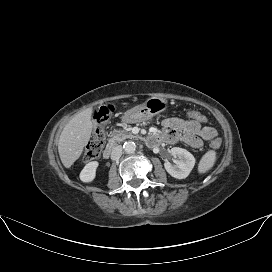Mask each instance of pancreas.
<instances>
[{"instance_id": "1", "label": "pancreas", "mask_w": 272, "mask_h": 272, "mask_svg": "<svg viewBox=\"0 0 272 272\" xmlns=\"http://www.w3.org/2000/svg\"><path fill=\"white\" fill-rule=\"evenodd\" d=\"M127 138H135V136L132 133H128L124 130H118L113 132L112 138L110 139L111 143L121 142Z\"/></svg>"}]
</instances>
